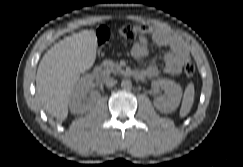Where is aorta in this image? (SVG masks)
<instances>
[{
  "mask_svg": "<svg viewBox=\"0 0 243 167\" xmlns=\"http://www.w3.org/2000/svg\"><path fill=\"white\" fill-rule=\"evenodd\" d=\"M121 87L125 90H128L132 87V82L130 79H123L121 81Z\"/></svg>",
  "mask_w": 243,
  "mask_h": 167,
  "instance_id": "762f6f07",
  "label": "aorta"
}]
</instances>
